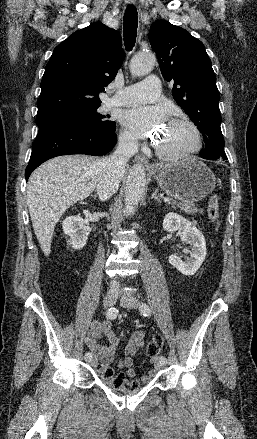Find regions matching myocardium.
<instances>
[{"instance_id": "myocardium-1", "label": "myocardium", "mask_w": 257, "mask_h": 439, "mask_svg": "<svg viewBox=\"0 0 257 439\" xmlns=\"http://www.w3.org/2000/svg\"><path fill=\"white\" fill-rule=\"evenodd\" d=\"M169 124L187 126L192 131L194 145L193 147L180 152H169L156 145L155 150L159 157L168 161H178L188 159L200 152L203 146V140L201 132L196 124H194L191 120L185 118L172 119Z\"/></svg>"}]
</instances>
